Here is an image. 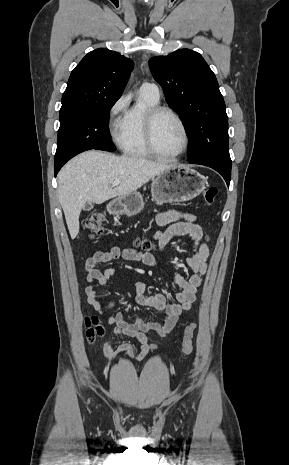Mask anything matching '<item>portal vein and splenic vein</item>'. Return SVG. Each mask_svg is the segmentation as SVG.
Instances as JSON below:
<instances>
[{
	"label": "portal vein and splenic vein",
	"instance_id": "portal-vein-and-splenic-vein-1",
	"mask_svg": "<svg viewBox=\"0 0 289 465\" xmlns=\"http://www.w3.org/2000/svg\"><path fill=\"white\" fill-rule=\"evenodd\" d=\"M120 184V180H115L113 183H112V186H117Z\"/></svg>",
	"mask_w": 289,
	"mask_h": 465
}]
</instances>
